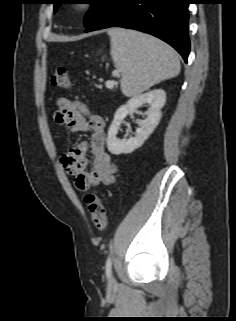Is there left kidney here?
Instances as JSON below:
<instances>
[{
	"instance_id": "left-kidney-1",
	"label": "left kidney",
	"mask_w": 236,
	"mask_h": 321,
	"mask_svg": "<svg viewBox=\"0 0 236 321\" xmlns=\"http://www.w3.org/2000/svg\"><path fill=\"white\" fill-rule=\"evenodd\" d=\"M166 102V93L162 89H155L147 93L134 96L129 99L126 104L120 106L114 115V120L109 128L107 136L108 150L115 155L122 153L128 154L139 148L144 141L154 131L161 119V109ZM143 104L150 107L146 112L145 120L137 121L139 127L136 129L134 137L129 139H118L117 132L124 118L135 111Z\"/></svg>"
}]
</instances>
